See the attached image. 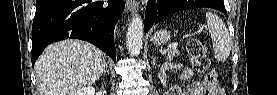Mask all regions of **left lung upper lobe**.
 <instances>
[{"label": "left lung upper lobe", "mask_w": 277, "mask_h": 95, "mask_svg": "<svg viewBox=\"0 0 277 95\" xmlns=\"http://www.w3.org/2000/svg\"><path fill=\"white\" fill-rule=\"evenodd\" d=\"M216 2H223V0H214ZM179 6L191 9V8H198L201 5L197 3V0H180L179 1Z\"/></svg>", "instance_id": "obj_1"}]
</instances>
